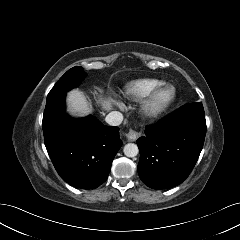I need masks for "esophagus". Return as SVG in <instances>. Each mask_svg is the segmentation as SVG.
Masks as SVG:
<instances>
[{
  "label": "esophagus",
  "instance_id": "1",
  "mask_svg": "<svg viewBox=\"0 0 240 240\" xmlns=\"http://www.w3.org/2000/svg\"><path fill=\"white\" fill-rule=\"evenodd\" d=\"M140 136H141L140 132H137L132 129L126 133V138L128 139V141H136Z\"/></svg>",
  "mask_w": 240,
  "mask_h": 240
}]
</instances>
